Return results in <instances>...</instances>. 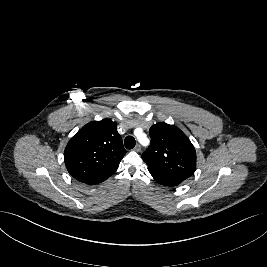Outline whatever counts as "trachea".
Instances as JSON below:
<instances>
[{
  "mask_svg": "<svg viewBox=\"0 0 267 267\" xmlns=\"http://www.w3.org/2000/svg\"><path fill=\"white\" fill-rule=\"evenodd\" d=\"M126 149H132L135 146V139L132 136H127L124 140Z\"/></svg>",
  "mask_w": 267,
  "mask_h": 267,
  "instance_id": "3493384b",
  "label": "trachea"
}]
</instances>
